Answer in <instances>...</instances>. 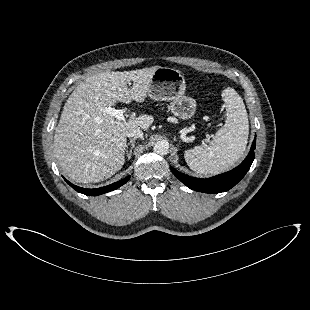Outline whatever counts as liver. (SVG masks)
<instances>
[{"mask_svg":"<svg viewBox=\"0 0 310 310\" xmlns=\"http://www.w3.org/2000/svg\"><path fill=\"white\" fill-rule=\"evenodd\" d=\"M158 67L101 72L86 78L69 96L55 129L53 151L73 181L97 183L122 168L127 133L133 129L146 131L154 118L144 114L121 121L104 109L116 102H144ZM130 81L133 85L128 88Z\"/></svg>","mask_w":310,"mask_h":310,"instance_id":"6515ba94","label":"liver"}]
</instances>
